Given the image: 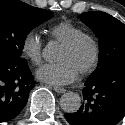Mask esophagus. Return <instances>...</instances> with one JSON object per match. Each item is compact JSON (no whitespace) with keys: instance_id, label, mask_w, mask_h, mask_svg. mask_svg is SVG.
<instances>
[{"instance_id":"esophagus-1","label":"esophagus","mask_w":125,"mask_h":125,"mask_svg":"<svg viewBox=\"0 0 125 125\" xmlns=\"http://www.w3.org/2000/svg\"><path fill=\"white\" fill-rule=\"evenodd\" d=\"M53 89L57 92V93H65L66 92V89L65 88H62V87H59V86H54Z\"/></svg>"}]
</instances>
